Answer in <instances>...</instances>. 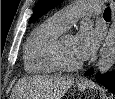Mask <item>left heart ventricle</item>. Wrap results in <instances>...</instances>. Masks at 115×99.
I'll list each match as a JSON object with an SVG mask.
<instances>
[{"label":"left heart ventricle","mask_w":115,"mask_h":99,"mask_svg":"<svg viewBox=\"0 0 115 99\" xmlns=\"http://www.w3.org/2000/svg\"><path fill=\"white\" fill-rule=\"evenodd\" d=\"M62 53L64 58L70 63L81 62L76 51L75 37L73 35L64 36L62 40Z\"/></svg>","instance_id":"1"}]
</instances>
